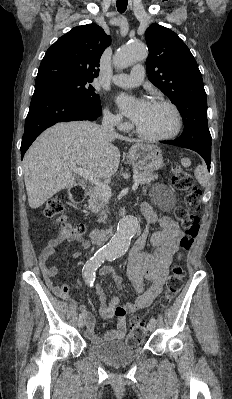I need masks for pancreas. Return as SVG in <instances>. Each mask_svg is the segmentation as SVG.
Wrapping results in <instances>:
<instances>
[{
	"label": "pancreas",
	"instance_id": "pancreas-1",
	"mask_svg": "<svg viewBox=\"0 0 232 399\" xmlns=\"http://www.w3.org/2000/svg\"><path fill=\"white\" fill-rule=\"evenodd\" d=\"M135 176V180H139V184H150L155 178H158L157 174H153V172H138ZM87 196H89L88 207L91 211L98 213L102 207H105L107 196H105L99 188H93L91 192H88ZM102 211H104V209H102ZM98 221H101V219H98Z\"/></svg>",
	"mask_w": 232,
	"mask_h": 399
}]
</instances>
